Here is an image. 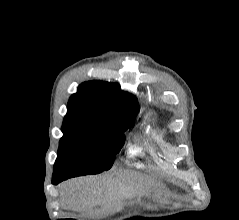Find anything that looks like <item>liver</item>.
I'll use <instances>...</instances> for the list:
<instances>
[{"instance_id":"6515ba94","label":"liver","mask_w":239,"mask_h":220,"mask_svg":"<svg viewBox=\"0 0 239 220\" xmlns=\"http://www.w3.org/2000/svg\"><path fill=\"white\" fill-rule=\"evenodd\" d=\"M150 183L141 174L124 170L111 176L82 177L61 185V198L65 205L81 209L105 204L116 198L131 195L136 187Z\"/></svg>"}]
</instances>
